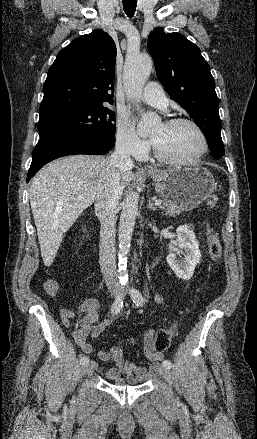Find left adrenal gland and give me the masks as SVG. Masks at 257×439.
<instances>
[{
	"label": "left adrenal gland",
	"instance_id": "obj_1",
	"mask_svg": "<svg viewBox=\"0 0 257 439\" xmlns=\"http://www.w3.org/2000/svg\"><path fill=\"white\" fill-rule=\"evenodd\" d=\"M147 208L150 209V210H153V211H156V210H157V207H155V206L153 205L151 199H149V203H148Z\"/></svg>",
	"mask_w": 257,
	"mask_h": 439
}]
</instances>
